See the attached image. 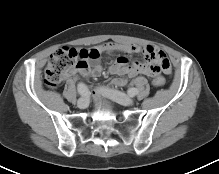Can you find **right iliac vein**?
Masks as SVG:
<instances>
[{
	"instance_id": "right-iliac-vein-1",
	"label": "right iliac vein",
	"mask_w": 219,
	"mask_h": 174,
	"mask_svg": "<svg viewBox=\"0 0 219 174\" xmlns=\"http://www.w3.org/2000/svg\"><path fill=\"white\" fill-rule=\"evenodd\" d=\"M89 104V99L87 97H82L78 100L77 102V106L80 108V109H84L88 106Z\"/></svg>"
}]
</instances>
